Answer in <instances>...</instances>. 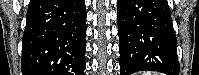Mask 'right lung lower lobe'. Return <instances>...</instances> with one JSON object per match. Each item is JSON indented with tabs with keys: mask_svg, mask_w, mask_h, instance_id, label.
Segmentation results:
<instances>
[{
	"mask_svg": "<svg viewBox=\"0 0 199 75\" xmlns=\"http://www.w3.org/2000/svg\"><path fill=\"white\" fill-rule=\"evenodd\" d=\"M85 0H30L22 75H84Z\"/></svg>",
	"mask_w": 199,
	"mask_h": 75,
	"instance_id": "right-lung-lower-lobe-1",
	"label": "right lung lower lobe"
}]
</instances>
